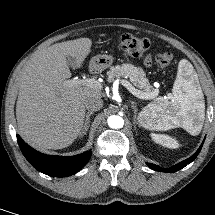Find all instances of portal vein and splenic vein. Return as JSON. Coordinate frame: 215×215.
Instances as JSON below:
<instances>
[{
  "instance_id": "1",
  "label": "portal vein and splenic vein",
  "mask_w": 215,
  "mask_h": 215,
  "mask_svg": "<svg viewBox=\"0 0 215 215\" xmlns=\"http://www.w3.org/2000/svg\"><path fill=\"white\" fill-rule=\"evenodd\" d=\"M122 85H124L133 95H135L136 97L140 98V99H153L156 97L157 94L155 93H145L142 92L138 89H136L134 86H132V84L130 82H128L127 80H122L121 81ZM66 85L68 86H87L90 88H95V89H102V84L100 82H98L97 80L93 79V78H81V79H70V80H66L65 82Z\"/></svg>"
}]
</instances>
